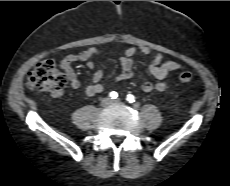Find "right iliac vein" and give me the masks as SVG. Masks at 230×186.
Listing matches in <instances>:
<instances>
[{
  "mask_svg": "<svg viewBox=\"0 0 230 186\" xmlns=\"http://www.w3.org/2000/svg\"><path fill=\"white\" fill-rule=\"evenodd\" d=\"M110 99L109 98H105L102 100V106H108L110 104Z\"/></svg>",
  "mask_w": 230,
  "mask_h": 186,
  "instance_id": "63e3f726",
  "label": "right iliac vein"
}]
</instances>
